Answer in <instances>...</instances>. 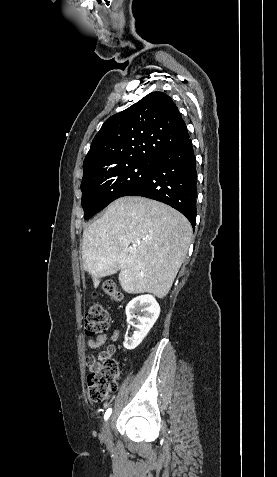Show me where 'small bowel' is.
Instances as JSON below:
<instances>
[{"label": "small bowel", "mask_w": 277, "mask_h": 477, "mask_svg": "<svg viewBox=\"0 0 277 477\" xmlns=\"http://www.w3.org/2000/svg\"><path fill=\"white\" fill-rule=\"evenodd\" d=\"M118 337H119V330L116 329L111 334L110 344H108L105 351H103L98 357L93 355V354H90V355L87 356V358H86L87 365L91 366L93 363L97 362L99 359H101L103 357H106V356L113 355L116 351L115 342L117 341ZM107 339H108L107 334H105V333L101 334L96 339H88L87 340V346L90 349H97L100 346H102L103 344H105Z\"/></svg>", "instance_id": "c3829d8e"}]
</instances>
